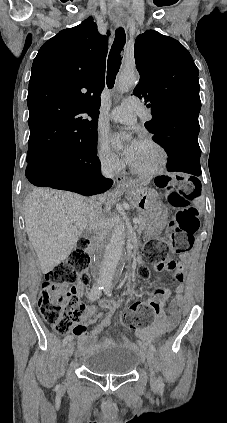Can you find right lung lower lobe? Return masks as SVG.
I'll list each match as a JSON object with an SVG mask.
<instances>
[{"label": "right lung lower lobe", "instance_id": "98d812e1", "mask_svg": "<svg viewBox=\"0 0 227 423\" xmlns=\"http://www.w3.org/2000/svg\"><path fill=\"white\" fill-rule=\"evenodd\" d=\"M97 151L80 156H61L47 151L28 163L26 177L35 186L76 192L85 196L99 194L113 183L100 174Z\"/></svg>", "mask_w": 227, "mask_h": 423}]
</instances>
